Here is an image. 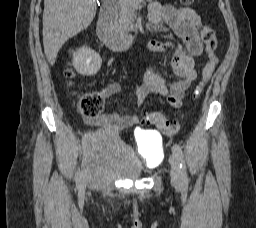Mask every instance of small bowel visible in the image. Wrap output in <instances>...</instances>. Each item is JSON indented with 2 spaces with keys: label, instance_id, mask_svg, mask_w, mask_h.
I'll return each mask as SVG.
<instances>
[{
  "label": "small bowel",
  "instance_id": "small-bowel-1",
  "mask_svg": "<svg viewBox=\"0 0 256 228\" xmlns=\"http://www.w3.org/2000/svg\"><path fill=\"white\" fill-rule=\"evenodd\" d=\"M149 20L154 25L167 24L174 33L182 39L187 52L178 49L170 59V65L180 80L166 84L164 78L153 66H149L144 74L142 84H132L138 104L141 105L149 94H156L167 98L168 103L178 108L182 105L187 89L197 77L195 58L203 52L201 41L202 21L200 16L191 8H178L172 5H161L154 2L150 5ZM170 47L168 42L152 40L148 49L152 54L166 51ZM121 91L119 83H112L103 90L104 97H110ZM87 122L107 132L116 133L122 129L136 125L139 119L136 115L105 114Z\"/></svg>",
  "mask_w": 256,
  "mask_h": 228
}]
</instances>
